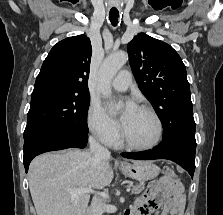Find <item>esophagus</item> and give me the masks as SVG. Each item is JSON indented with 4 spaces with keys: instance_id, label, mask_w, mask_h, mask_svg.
<instances>
[{
    "instance_id": "obj_1",
    "label": "esophagus",
    "mask_w": 223,
    "mask_h": 215,
    "mask_svg": "<svg viewBox=\"0 0 223 215\" xmlns=\"http://www.w3.org/2000/svg\"><path fill=\"white\" fill-rule=\"evenodd\" d=\"M122 165H125V163L124 162H120L119 166L121 167Z\"/></svg>"
}]
</instances>
